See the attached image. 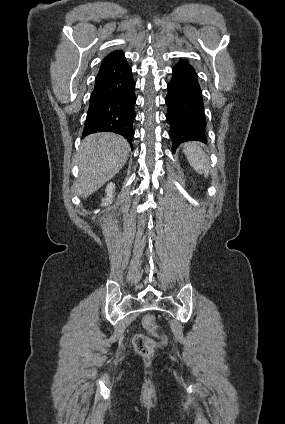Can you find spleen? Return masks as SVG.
Masks as SVG:
<instances>
[{"instance_id":"1","label":"spleen","mask_w":285,"mask_h":424,"mask_svg":"<svg viewBox=\"0 0 285 424\" xmlns=\"http://www.w3.org/2000/svg\"><path fill=\"white\" fill-rule=\"evenodd\" d=\"M183 152L190 164L198 173H204L205 177L209 175V160L203 150L196 142H188L183 145Z\"/></svg>"}]
</instances>
